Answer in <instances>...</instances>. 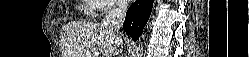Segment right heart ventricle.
Listing matches in <instances>:
<instances>
[{
	"label": "right heart ventricle",
	"instance_id": "e07e8e85",
	"mask_svg": "<svg viewBox=\"0 0 249 57\" xmlns=\"http://www.w3.org/2000/svg\"><path fill=\"white\" fill-rule=\"evenodd\" d=\"M86 2H87V4L84 6L83 10L87 14H92L94 9H95V3H94V1H89V0Z\"/></svg>",
	"mask_w": 249,
	"mask_h": 57
}]
</instances>
